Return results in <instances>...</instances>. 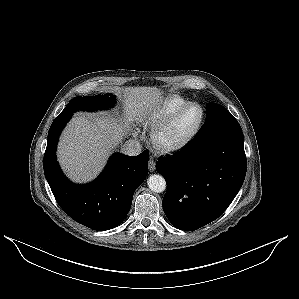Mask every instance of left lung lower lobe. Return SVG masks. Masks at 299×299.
<instances>
[{
	"label": "left lung lower lobe",
	"mask_w": 299,
	"mask_h": 299,
	"mask_svg": "<svg viewBox=\"0 0 299 299\" xmlns=\"http://www.w3.org/2000/svg\"><path fill=\"white\" fill-rule=\"evenodd\" d=\"M246 169L242 129L230 114L156 164L167 182L162 203L165 215L180 230L209 224L231 204Z\"/></svg>",
	"instance_id": "left-lung-lower-lobe-1"
}]
</instances>
